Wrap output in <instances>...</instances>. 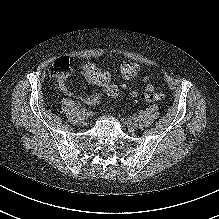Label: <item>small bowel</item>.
<instances>
[{"label": "small bowel", "mask_w": 219, "mask_h": 219, "mask_svg": "<svg viewBox=\"0 0 219 219\" xmlns=\"http://www.w3.org/2000/svg\"><path fill=\"white\" fill-rule=\"evenodd\" d=\"M92 68H98V67L95 64H91V63L83 65L81 68V75L89 85H98L96 82V75H95V73H93L91 71ZM98 69H100V68H98ZM132 78H124V79L129 80ZM143 82L146 84L147 91L154 90V87L152 84L149 83V78L147 76L143 77ZM59 88L65 95L70 96L72 98L80 99L89 106H97L100 104V102L102 100V94H100V93L93 94V95H90L87 97H80V96L74 94L73 92H71L69 87L63 82H61L59 84ZM132 94H138V93L133 92Z\"/></svg>", "instance_id": "small-bowel-1"}]
</instances>
